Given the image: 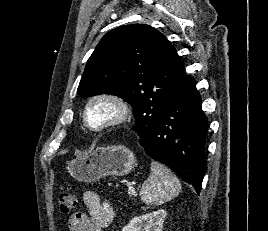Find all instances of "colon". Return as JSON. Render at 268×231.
<instances>
[{
  "mask_svg": "<svg viewBox=\"0 0 268 231\" xmlns=\"http://www.w3.org/2000/svg\"><path fill=\"white\" fill-rule=\"evenodd\" d=\"M77 200L74 195L62 193L59 196V208L62 213H69L75 208Z\"/></svg>",
  "mask_w": 268,
  "mask_h": 231,
  "instance_id": "1",
  "label": "colon"
}]
</instances>
